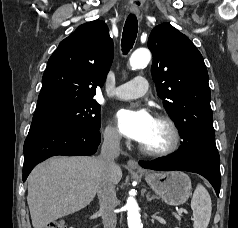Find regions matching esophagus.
Masks as SVG:
<instances>
[{
	"instance_id": "34e87169",
	"label": "esophagus",
	"mask_w": 238,
	"mask_h": 228,
	"mask_svg": "<svg viewBox=\"0 0 238 228\" xmlns=\"http://www.w3.org/2000/svg\"><path fill=\"white\" fill-rule=\"evenodd\" d=\"M131 12L133 14H135L136 16H138L140 11H139V9L137 7H133V8H131ZM127 165L131 169L141 170L138 162L135 161L134 159H129L128 162H127Z\"/></svg>"
}]
</instances>
